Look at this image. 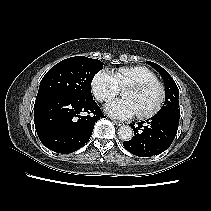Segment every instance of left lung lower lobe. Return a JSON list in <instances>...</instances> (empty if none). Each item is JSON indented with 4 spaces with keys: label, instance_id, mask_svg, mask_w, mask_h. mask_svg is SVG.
I'll return each instance as SVG.
<instances>
[{
    "label": "left lung lower lobe",
    "instance_id": "left-lung-lower-lobe-1",
    "mask_svg": "<svg viewBox=\"0 0 211 211\" xmlns=\"http://www.w3.org/2000/svg\"><path fill=\"white\" fill-rule=\"evenodd\" d=\"M179 125V119L165 114H156L133 128L134 137L123 146L139 157H150L164 152L172 144Z\"/></svg>",
    "mask_w": 211,
    "mask_h": 211
}]
</instances>
